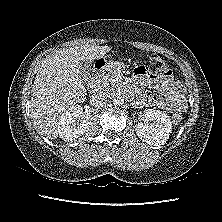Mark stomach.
<instances>
[{"label": "stomach", "instance_id": "0dacf381", "mask_svg": "<svg viewBox=\"0 0 222 222\" xmlns=\"http://www.w3.org/2000/svg\"><path fill=\"white\" fill-rule=\"evenodd\" d=\"M117 67H118L117 64H110L105 67V70H114L115 71L117 69Z\"/></svg>", "mask_w": 222, "mask_h": 222}]
</instances>
